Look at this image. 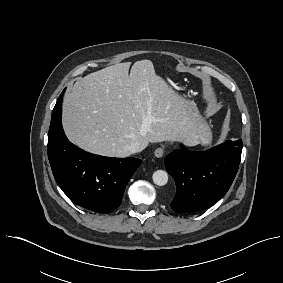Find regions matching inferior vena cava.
<instances>
[{"mask_svg": "<svg viewBox=\"0 0 283 283\" xmlns=\"http://www.w3.org/2000/svg\"><path fill=\"white\" fill-rule=\"evenodd\" d=\"M144 148L145 147L140 142L136 141L130 144L128 150L130 151V153H137L141 152Z\"/></svg>", "mask_w": 283, "mask_h": 283, "instance_id": "602c4592", "label": "inferior vena cava"}]
</instances>
